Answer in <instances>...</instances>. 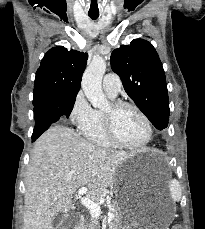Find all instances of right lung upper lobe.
Instances as JSON below:
<instances>
[{
  "instance_id": "obj_1",
  "label": "right lung upper lobe",
  "mask_w": 205,
  "mask_h": 229,
  "mask_svg": "<svg viewBox=\"0 0 205 229\" xmlns=\"http://www.w3.org/2000/svg\"><path fill=\"white\" fill-rule=\"evenodd\" d=\"M88 54L58 46L50 49L36 72L33 101L77 94Z\"/></svg>"
}]
</instances>
